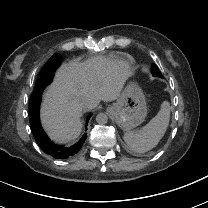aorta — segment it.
Returning <instances> with one entry per match:
<instances>
[{"mask_svg":"<svg viewBox=\"0 0 208 208\" xmlns=\"http://www.w3.org/2000/svg\"><path fill=\"white\" fill-rule=\"evenodd\" d=\"M96 122L101 125L106 124L108 122V116L104 113H99L96 116Z\"/></svg>","mask_w":208,"mask_h":208,"instance_id":"obj_1","label":"aorta"}]
</instances>
